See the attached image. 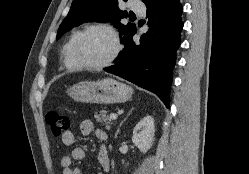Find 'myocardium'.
<instances>
[{"mask_svg":"<svg viewBox=\"0 0 249 174\" xmlns=\"http://www.w3.org/2000/svg\"><path fill=\"white\" fill-rule=\"evenodd\" d=\"M93 30H103L111 36L112 41H113V51L105 61L97 63V64H88L80 58L78 54V49H79L80 42L82 41L84 36ZM120 50H121L120 38L115 28H113L109 24L96 23V24H91L87 26L79 33V35L77 36L73 44L72 54L79 68L88 69V70H99V69H103L111 65L115 61L117 56L119 55Z\"/></svg>","mask_w":249,"mask_h":174,"instance_id":"obj_1","label":"myocardium"}]
</instances>
